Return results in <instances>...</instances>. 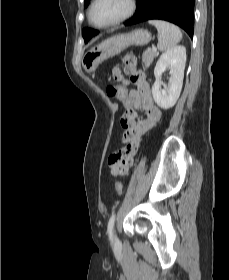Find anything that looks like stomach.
<instances>
[{
	"instance_id": "stomach-1",
	"label": "stomach",
	"mask_w": 229,
	"mask_h": 280,
	"mask_svg": "<svg viewBox=\"0 0 229 280\" xmlns=\"http://www.w3.org/2000/svg\"><path fill=\"white\" fill-rule=\"evenodd\" d=\"M151 39V33L145 29L115 35L87 51L82 58V67L88 74H94L98 65L104 60L119 54L129 46L146 45Z\"/></svg>"
}]
</instances>
